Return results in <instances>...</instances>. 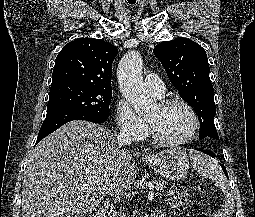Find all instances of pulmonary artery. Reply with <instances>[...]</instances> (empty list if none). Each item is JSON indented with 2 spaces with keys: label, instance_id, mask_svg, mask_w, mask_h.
Returning <instances> with one entry per match:
<instances>
[{
  "label": "pulmonary artery",
  "instance_id": "pulmonary-artery-1",
  "mask_svg": "<svg viewBox=\"0 0 255 217\" xmlns=\"http://www.w3.org/2000/svg\"><path fill=\"white\" fill-rule=\"evenodd\" d=\"M146 90L153 93L157 97H162L165 93V85L163 80L157 74H148L144 80Z\"/></svg>",
  "mask_w": 255,
  "mask_h": 217
}]
</instances>
